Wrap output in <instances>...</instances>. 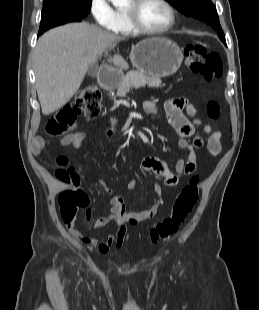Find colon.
<instances>
[{
    "instance_id": "5ec220e1",
    "label": "colon",
    "mask_w": 259,
    "mask_h": 310,
    "mask_svg": "<svg viewBox=\"0 0 259 310\" xmlns=\"http://www.w3.org/2000/svg\"><path fill=\"white\" fill-rule=\"evenodd\" d=\"M184 51L188 67L192 72L201 75L207 81L221 76L222 63L218 54L198 44H189L185 46ZM101 100V92L96 85L84 87L76 94L71 106L63 109L48 121L47 134L50 137H58L67 133L79 116L88 120L95 119L100 113ZM207 114L211 119H218L221 114L219 104L210 101L207 104ZM57 162L62 166L57 171V176L73 187L60 193L59 213L66 225H72L79 212L88 206L89 196L84 190L78 188L80 177L73 168L67 167V158L59 156ZM199 182L200 177L194 176L181 190L173 204L171 215L150 230L149 238L152 242L165 239L178 230L198 200Z\"/></svg>"
}]
</instances>
